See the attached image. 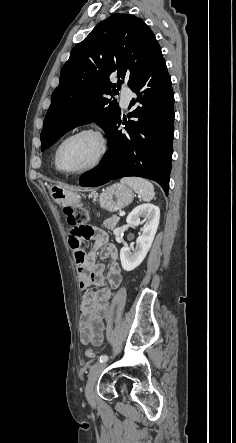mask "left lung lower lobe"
I'll return each instance as SVG.
<instances>
[{
	"label": "left lung lower lobe",
	"mask_w": 236,
	"mask_h": 443,
	"mask_svg": "<svg viewBox=\"0 0 236 443\" xmlns=\"http://www.w3.org/2000/svg\"><path fill=\"white\" fill-rule=\"evenodd\" d=\"M130 89L140 103L129 118L126 132L118 130L121 119L106 133L109 149L96 169L85 172L80 185L95 187L126 176L158 182L168 194L171 171L174 95L161 48L156 44Z\"/></svg>",
	"instance_id": "left-lung-lower-lobe-1"
}]
</instances>
